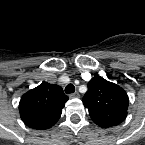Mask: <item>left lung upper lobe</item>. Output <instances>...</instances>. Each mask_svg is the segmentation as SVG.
Returning a JSON list of instances; mask_svg holds the SVG:
<instances>
[{"instance_id":"1","label":"left lung upper lobe","mask_w":145,"mask_h":145,"mask_svg":"<svg viewBox=\"0 0 145 145\" xmlns=\"http://www.w3.org/2000/svg\"><path fill=\"white\" fill-rule=\"evenodd\" d=\"M82 101L93 122L102 128L117 126L127 116V93L101 76H95L89 81L88 91Z\"/></svg>"}]
</instances>
